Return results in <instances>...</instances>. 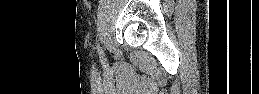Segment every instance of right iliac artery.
<instances>
[{"mask_svg":"<svg viewBox=\"0 0 259 94\" xmlns=\"http://www.w3.org/2000/svg\"><path fill=\"white\" fill-rule=\"evenodd\" d=\"M98 51H99V55H100L102 64H105L106 63V59L104 58L103 52H102V50L100 49L99 46H98Z\"/></svg>","mask_w":259,"mask_h":94,"instance_id":"1","label":"right iliac artery"}]
</instances>
